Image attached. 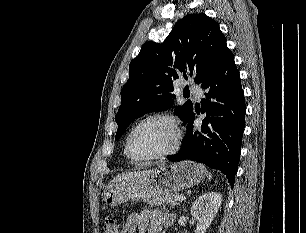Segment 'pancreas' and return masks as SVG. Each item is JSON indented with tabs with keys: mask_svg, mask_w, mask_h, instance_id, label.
Here are the masks:
<instances>
[{
	"mask_svg": "<svg viewBox=\"0 0 306 233\" xmlns=\"http://www.w3.org/2000/svg\"><path fill=\"white\" fill-rule=\"evenodd\" d=\"M180 196H182V195L177 194V193L171 194V195H166V196L150 199V200H148V204L150 206H162L163 208H165V206H169L171 208H174L176 205L179 204L178 198Z\"/></svg>",
	"mask_w": 306,
	"mask_h": 233,
	"instance_id": "pancreas-1",
	"label": "pancreas"
}]
</instances>
